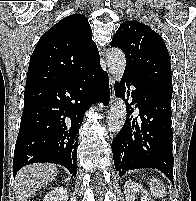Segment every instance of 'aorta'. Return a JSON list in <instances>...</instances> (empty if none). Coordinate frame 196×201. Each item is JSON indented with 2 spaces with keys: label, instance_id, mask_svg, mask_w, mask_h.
<instances>
[{
  "label": "aorta",
  "instance_id": "762f6f07",
  "mask_svg": "<svg viewBox=\"0 0 196 201\" xmlns=\"http://www.w3.org/2000/svg\"><path fill=\"white\" fill-rule=\"evenodd\" d=\"M106 63L110 74L115 80L120 82L126 66V59L123 51L119 48L110 49L106 56ZM126 115L127 110L125 102L122 98L118 97L112 104L107 117L109 131L118 133L125 123Z\"/></svg>",
  "mask_w": 196,
  "mask_h": 201
}]
</instances>
